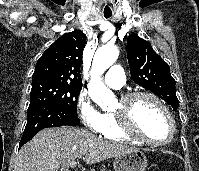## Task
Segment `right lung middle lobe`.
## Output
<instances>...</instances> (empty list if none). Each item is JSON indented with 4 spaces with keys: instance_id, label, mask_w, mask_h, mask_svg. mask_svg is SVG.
Listing matches in <instances>:
<instances>
[{
    "instance_id": "right-lung-middle-lobe-1",
    "label": "right lung middle lobe",
    "mask_w": 199,
    "mask_h": 171,
    "mask_svg": "<svg viewBox=\"0 0 199 171\" xmlns=\"http://www.w3.org/2000/svg\"><path fill=\"white\" fill-rule=\"evenodd\" d=\"M81 88L82 85L57 80H32L30 104L51 102L77 115V98Z\"/></svg>"
}]
</instances>
